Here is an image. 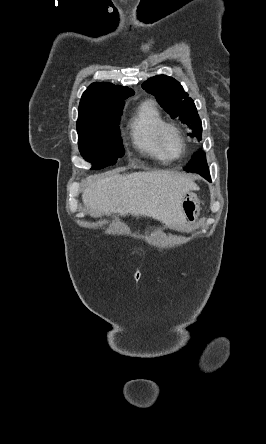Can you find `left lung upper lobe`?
Wrapping results in <instances>:
<instances>
[{
    "label": "left lung upper lobe",
    "instance_id": "1",
    "mask_svg": "<svg viewBox=\"0 0 266 444\" xmlns=\"http://www.w3.org/2000/svg\"><path fill=\"white\" fill-rule=\"evenodd\" d=\"M142 88L157 98L171 118L179 119L192 129L190 137L201 140L202 123L194 101L188 97L181 84L165 75H158L143 83Z\"/></svg>",
    "mask_w": 266,
    "mask_h": 444
}]
</instances>
